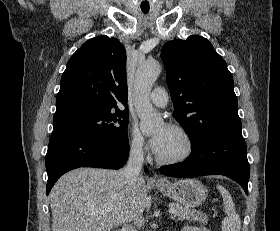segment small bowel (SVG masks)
Here are the masks:
<instances>
[{
    "label": "small bowel",
    "instance_id": "1",
    "mask_svg": "<svg viewBox=\"0 0 280 231\" xmlns=\"http://www.w3.org/2000/svg\"><path fill=\"white\" fill-rule=\"evenodd\" d=\"M183 231H207V230L203 229V228L192 226V227H185L183 229Z\"/></svg>",
    "mask_w": 280,
    "mask_h": 231
}]
</instances>
